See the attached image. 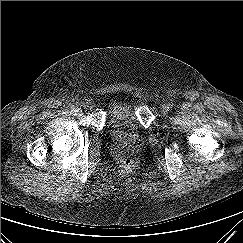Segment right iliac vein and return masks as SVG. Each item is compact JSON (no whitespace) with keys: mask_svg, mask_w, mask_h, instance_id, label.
Masks as SVG:
<instances>
[{"mask_svg":"<svg viewBox=\"0 0 243 243\" xmlns=\"http://www.w3.org/2000/svg\"><path fill=\"white\" fill-rule=\"evenodd\" d=\"M76 116H82L83 115V112H82V110L81 109H77V112H76V114H75Z\"/></svg>","mask_w":243,"mask_h":243,"instance_id":"obj_1","label":"right iliac vein"}]
</instances>
